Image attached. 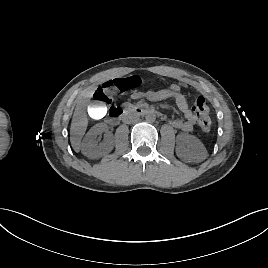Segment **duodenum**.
<instances>
[{"label": "duodenum", "instance_id": "obj_1", "mask_svg": "<svg viewBox=\"0 0 268 268\" xmlns=\"http://www.w3.org/2000/svg\"><path fill=\"white\" fill-rule=\"evenodd\" d=\"M129 113H134L138 115H144V114L160 115L159 112L145 105H137L127 108L122 106H112L109 108L108 111V119L111 123H118Z\"/></svg>", "mask_w": 268, "mask_h": 268}]
</instances>
